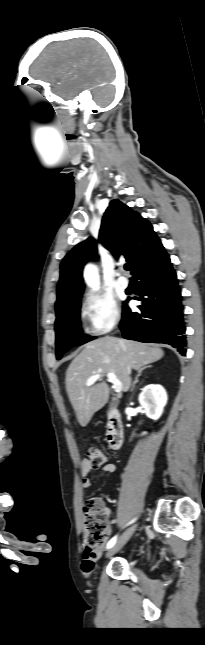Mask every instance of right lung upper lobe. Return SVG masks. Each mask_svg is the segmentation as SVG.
<instances>
[{
    "instance_id": "cb5924a9",
    "label": "right lung upper lobe",
    "mask_w": 205,
    "mask_h": 645,
    "mask_svg": "<svg viewBox=\"0 0 205 645\" xmlns=\"http://www.w3.org/2000/svg\"><path fill=\"white\" fill-rule=\"evenodd\" d=\"M101 242L116 258L124 255L133 276L167 255L150 223L118 200L110 202L99 232ZM96 241L89 237L62 260L57 286L56 314L71 306L84 290L82 269L95 258Z\"/></svg>"
}]
</instances>
